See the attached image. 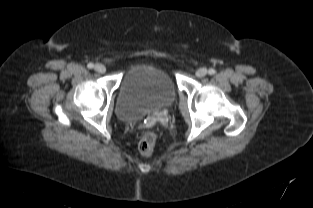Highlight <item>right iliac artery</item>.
I'll use <instances>...</instances> for the list:
<instances>
[{
  "label": "right iliac artery",
  "instance_id": "right-iliac-artery-1",
  "mask_svg": "<svg viewBox=\"0 0 313 208\" xmlns=\"http://www.w3.org/2000/svg\"><path fill=\"white\" fill-rule=\"evenodd\" d=\"M87 67H88L89 69H92V68L94 67V64H93V63H89V64L87 65Z\"/></svg>",
  "mask_w": 313,
  "mask_h": 208
}]
</instances>
